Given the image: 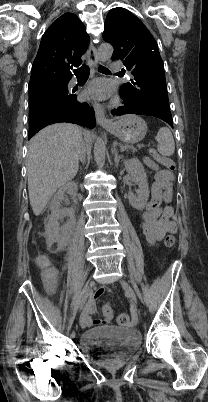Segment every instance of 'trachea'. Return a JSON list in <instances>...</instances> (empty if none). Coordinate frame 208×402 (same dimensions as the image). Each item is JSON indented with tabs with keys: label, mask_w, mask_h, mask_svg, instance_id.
<instances>
[{
	"label": "trachea",
	"mask_w": 208,
	"mask_h": 402,
	"mask_svg": "<svg viewBox=\"0 0 208 402\" xmlns=\"http://www.w3.org/2000/svg\"><path fill=\"white\" fill-rule=\"evenodd\" d=\"M73 72L77 78H84V77L89 76L90 69L86 64H84V65H82V67L78 68L77 70H73ZM99 72H109V70L106 67L100 66Z\"/></svg>",
	"instance_id": "trachea-1"
}]
</instances>
